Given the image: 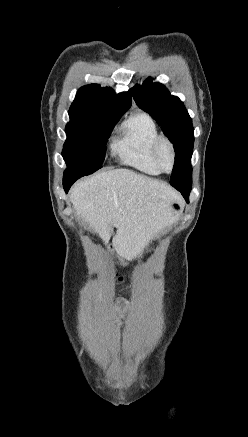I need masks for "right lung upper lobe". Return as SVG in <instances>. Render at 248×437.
<instances>
[{
    "instance_id": "1",
    "label": "right lung upper lobe",
    "mask_w": 248,
    "mask_h": 437,
    "mask_svg": "<svg viewBox=\"0 0 248 437\" xmlns=\"http://www.w3.org/2000/svg\"><path fill=\"white\" fill-rule=\"evenodd\" d=\"M131 106V95H118L111 88H101L98 84L81 87L73 101L69 116L90 120L121 117Z\"/></svg>"
}]
</instances>
